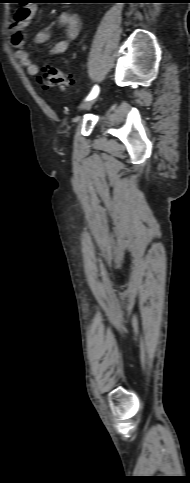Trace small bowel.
<instances>
[{
	"label": "small bowel",
	"mask_w": 190,
	"mask_h": 483,
	"mask_svg": "<svg viewBox=\"0 0 190 483\" xmlns=\"http://www.w3.org/2000/svg\"><path fill=\"white\" fill-rule=\"evenodd\" d=\"M35 13V7L21 5L12 18L10 42L15 47V58L24 67L30 76H36L39 72L38 65L31 59L29 52L24 45V32L29 26L30 20ZM59 23L64 27V38L56 42L49 50L50 56H57L65 53L70 44L77 38L81 21L76 13L67 10L59 15ZM51 30H40L35 34L36 44H45L51 38Z\"/></svg>",
	"instance_id": "c3829d8e"
}]
</instances>
